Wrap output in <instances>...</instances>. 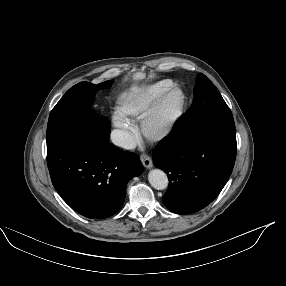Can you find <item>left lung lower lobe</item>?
Masks as SVG:
<instances>
[{
  "label": "left lung lower lobe",
  "instance_id": "obj_1",
  "mask_svg": "<svg viewBox=\"0 0 286 286\" xmlns=\"http://www.w3.org/2000/svg\"><path fill=\"white\" fill-rule=\"evenodd\" d=\"M154 165L168 174L164 205L177 214L210 204L228 181L236 158L235 129L210 128L164 139L154 151Z\"/></svg>",
  "mask_w": 286,
  "mask_h": 286
}]
</instances>
